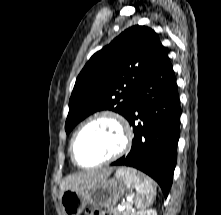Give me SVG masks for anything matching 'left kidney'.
Masks as SVG:
<instances>
[{"mask_svg":"<svg viewBox=\"0 0 221 215\" xmlns=\"http://www.w3.org/2000/svg\"><path fill=\"white\" fill-rule=\"evenodd\" d=\"M135 215H157L156 210L148 209V210H141L137 212Z\"/></svg>","mask_w":221,"mask_h":215,"instance_id":"obj_1","label":"left kidney"}]
</instances>
